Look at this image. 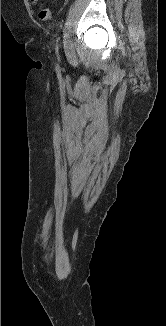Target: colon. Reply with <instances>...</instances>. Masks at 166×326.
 I'll return each instance as SVG.
<instances>
[{"mask_svg": "<svg viewBox=\"0 0 166 326\" xmlns=\"http://www.w3.org/2000/svg\"><path fill=\"white\" fill-rule=\"evenodd\" d=\"M38 16L41 20H51L53 18V12L49 8L41 6L38 11Z\"/></svg>", "mask_w": 166, "mask_h": 326, "instance_id": "colon-1", "label": "colon"}]
</instances>
